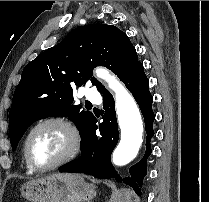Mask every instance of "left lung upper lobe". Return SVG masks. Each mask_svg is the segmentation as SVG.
<instances>
[{
  "label": "left lung upper lobe",
  "instance_id": "5c2ea615",
  "mask_svg": "<svg viewBox=\"0 0 209 202\" xmlns=\"http://www.w3.org/2000/svg\"><path fill=\"white\" fill-rule=\"evenodd\" d=\"M140 63L129 38L117 27L89 24L74 29L25 66L9 112L12 150L32 123L51 116H68L82 138L95 116L72 105V87L91 81L103 94L107 90L92 76L94 67L105 66L122 80Z\"/></svg>",
  "mask_w": 209,
  "mask_h": 202
}]
</instances>
